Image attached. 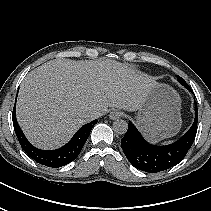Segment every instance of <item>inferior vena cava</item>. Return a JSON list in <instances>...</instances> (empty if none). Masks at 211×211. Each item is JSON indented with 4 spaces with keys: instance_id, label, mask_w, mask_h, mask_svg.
Wrapping results in <instances>:
<instances>
[{
    "instance_id": "1",
    "label": "inferior vena cava",
    "mask_w": 211,
    "mask_h": 211,
    "mask_svg": "<svg viewBox=\"0 0 211 211\" xmlns=\"http://www.w3.org/2000/svg\"><path fill=\"white\" fill-rule=\"evenodd\" d=\"M89 116L93 120V119L100 117L101 113L99 111H92V112H90Z\"/></svg>"
}]
</instances>
